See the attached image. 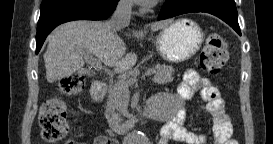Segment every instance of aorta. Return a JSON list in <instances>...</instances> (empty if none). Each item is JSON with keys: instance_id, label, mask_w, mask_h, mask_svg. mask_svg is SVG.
<instances>
[{"instance_id": "aorta-1", "label": "aorta", "mask_w": 273, "mask_h": 144, "mask_svg": "<svg viewBox=\"0 0 273 144\" xmlns=\"http://www.w3.org/2000/svg\"><path fill=\"white\" fill-rule=\"evenodd\" d=\"M125 144H147V137L141 132H133L127 136Z\"/></svg>"}]
</instances>
